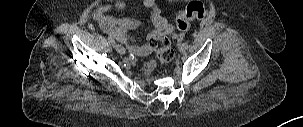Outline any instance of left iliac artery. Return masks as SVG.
I'll return each mask as SVG.
<instances>
[{
	"label": "left iliac artery",
	"mask_w": 303,
	"mask_h": 127,
	"mask_svg": "<svg viewBox=\"0 0 303 127\" xmlns=\"http://www.w3.org/2000/svg\"><path fill=\"white\" fill-rule=\"evenodd\" d=\"M183 45H184L185 49H188L189 45H188V42H187V41L184 42Z\"/></svg>",
	"instance_id": "obj_1"
}]
</instances>
